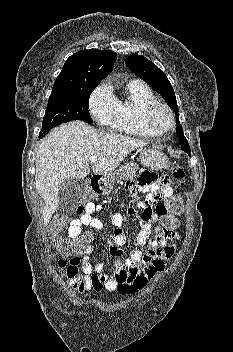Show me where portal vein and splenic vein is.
Instances as JSON below:
<instances>
[{
	"mask_svg": "<svg viewBox=\"0 0 233 352\" xmlns=\"http://www.w3.org/2000/svg\"><path fill=\"white\" fill-rule=\"evenodd\" d=\"M96 160H97L96 156H91L90 159H89L90 163H95Z\"/></svg>",
	"mask_w": 233,
	"mask_h": 352,
	"instance_id": "1",
	"label": "portal vein and splenic vein"
}]
</instances>
